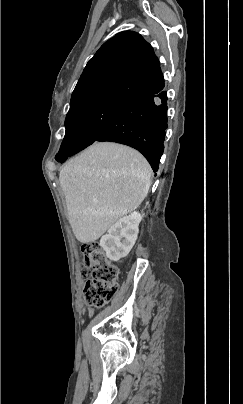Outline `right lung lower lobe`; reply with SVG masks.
Returning <instances> with one entry per match:
<instances>
[{
	"label": "right lung lower lobe",
	"instance_id": "right-lung-lower-lobe-1",
	"mask_svg": "<svg viewBox=\"0 0 243 404\" xmlns=\"http://www.w3.org/2000/svg\"><path fill=\"white\" fill-rule=\"evenodd\" d=\"M167 128V93L155 90L128 100L95 141H110L137 149L158 170Z\"/></svg>",
	"mask_w": 243,
	"mask_h": 404
}]
</instances>
